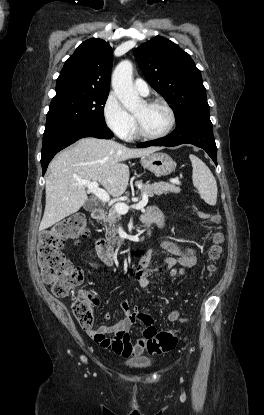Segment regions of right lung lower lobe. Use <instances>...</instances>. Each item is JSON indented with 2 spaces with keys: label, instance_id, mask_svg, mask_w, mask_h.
<instances>
[{
  "label": "right lung lower lobe",
  "instance_id": "98d812e1",
  "mask_svg": "<svg viewBox=\"0 0 264 415\" xmlns=\"http://www.w3.org/2000/svg\"><path fill=\"white\" fill-rule=\"evenodd\" d=\"M84 137L110 139L113 133L106 124L82 123L44 133L41 153L42 173L60 150Z\"/></svg>",
  "mask_w": 264,
  "mask_h": 415
}]
</instances>
